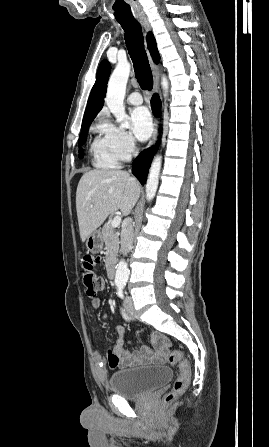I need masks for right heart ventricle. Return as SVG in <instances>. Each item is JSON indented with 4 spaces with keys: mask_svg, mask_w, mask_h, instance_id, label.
Listing matches in <instances>:
<instances>
[{
    "mask_svg": "<svg viewBox=\"0 0 269 447\" xmlns=\"http://www.w3.org/2000/svg\"><path fill=\"white\" fill-rule=\"evenodd\" d=\"M92 163L97 168H115L120 158L113 149L110 137L102 133L91 144Z\"/></svg>",
    "mask_w": 269,
    "mask_h": 447,
    "instance_id": "obj_1",
    "label": "right heart ventricle"
}]
</instances>
